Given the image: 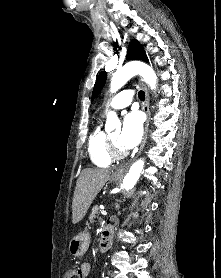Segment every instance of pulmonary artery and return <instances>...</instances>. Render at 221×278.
Listing matches in <instances>:
<instances>
[{
    "mask_svg": "<svg viewBox=\"0 0 221 278\" xmlns=\"http://www.w3.org/2000/svg\"><path fill=\"white\" fill-rule=\"evenodd\" d=\"M133 92L131 90H123L119 92L108 104V109H121L131 104L133 100Z\"/></svg>",
    "mask_w": 221,
    "mask_h": 278,
    "instance_id": "1",
    "label": "pulmonary artery"
}]
</instances>
